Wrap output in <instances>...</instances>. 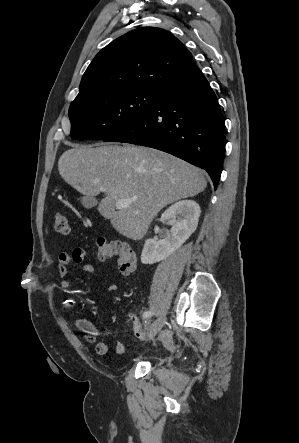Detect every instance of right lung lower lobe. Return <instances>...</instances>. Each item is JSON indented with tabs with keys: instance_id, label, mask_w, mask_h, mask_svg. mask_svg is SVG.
<instances>
[{
	"instance_id": "98d812e1",
	"label": "right lung lower lobe",
	"mask_w": 299,
	"mask_h": 443,
	"mask_svg": "<svg viewBox=\"0 0 299 443\" xmlns=\"http://www.w3.org/2000/svg\"><path fill=\"white\" fill-rule=\"evenodd\" d=\"M224 128L217 97L199 71L161 90L146 114L103 141L170 153L204 168L216 188L225 151Z\"/></svg>"
}]
</instances>
